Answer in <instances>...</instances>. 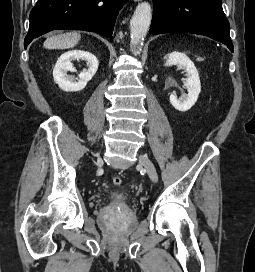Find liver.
<instances>
[{"mask_svg":"<svg viewBox=\"0 0 255 272\" xmlns=\"http://www.w3.org/2000/svg\"><path fill=\"white\" fill-rule=\"evenodd\" d=\"M81 39V35L76 32H69L48 37L44 42V47L48 49H67L74 47Z\"/></svg>","mask_w":255,"mask_h":272,"instance_id":"obj_1","label":"liver"}]
</instances>
